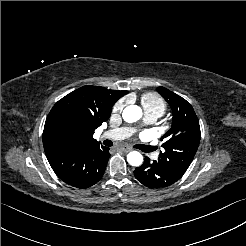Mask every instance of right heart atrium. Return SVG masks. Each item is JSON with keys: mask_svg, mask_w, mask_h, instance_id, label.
I'll use <instances>...</instances> for the list:
<instances>
[{"mask_svg": "<svg viewBox=\"0 0 246 246\" xmlns=\"http://www.w3.org/2000/svg\"><path fill=\"white\" fill-rule=\"evenodd\" d=\"M128 102H129V99L127 97H123L119 99L118 101H116L114 105L112 106V115L113 116L120 115L123 112L126 105L128 104Z\"/></svg>", "mask_w": 246, "mask_h": 246, "instance_id": "d8ad5b80", "label": "right heart atrium"}]
</instances>
